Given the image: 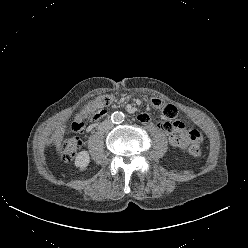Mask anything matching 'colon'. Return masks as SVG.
<instances>
[{"instance_id": "colon-1", "label": "colon", "mask_w": 248, "mask_h": 248, "mask_svg": "<svg viewBox=\"0 0 248 248\" xmlns=\"http://www.w3.org/2000/svg\"><path fill=\"white\" fill-rule=\"evenodd\" d=\"M111 102V96L102 95L98 97L92 104L83 105L80 109L79 115L72 122V129L77 133H84L87 128V119L91 116L94 118L100 110L110 105ZM191 137L192 142L189 147V153L192 156H199L202 153L203 137L197 130H192ZM80 145L81 141L78 137L69 138L62 142L57 148V152L61 160L64 162H70Z\"/></svg>"}]
</instances>
